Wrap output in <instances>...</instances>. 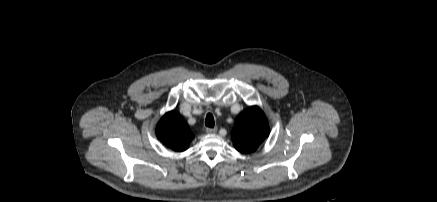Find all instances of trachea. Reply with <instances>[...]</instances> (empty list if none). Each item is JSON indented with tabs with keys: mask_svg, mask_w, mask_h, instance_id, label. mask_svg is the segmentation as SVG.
I'll list each match as a JSON object with an SVG mask.
<instances>
[{
	"mask_svg": "<svg viewBox=\"0 0 437 202\" xmlns=\"http://www.w3.org/2000/svg\"><path fill=\"white\" fill-rule=\"evenodd\" d=\"M214 124H215V122H214L213 115L211 113H208L207 116H206L205 125L207 127L213 128Z\"/></svg>",
	"mask_w": 437,
	"mask_h": 202,
	"instance_id": "trachea-1",
	"label": "trachea"
}]
</instances>
